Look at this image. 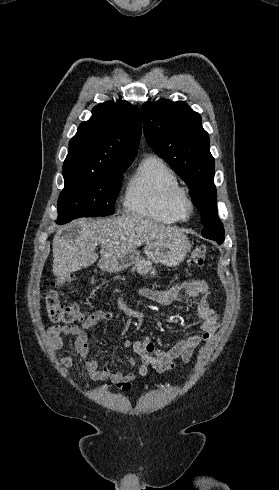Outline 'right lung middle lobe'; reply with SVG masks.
Instances as JSON below:
<instances>
[{"instance_id": "obj_1", "label": "right lung middle lobe", "mask_w": 279, "mask_h": 490, "mask_svg": "<svg viewBox=\"0 0 279 490\" xmlns=\"http://www.w3.org/2000/svg\"><path fill=\"white\" fill-rule=\"evenodd\" d=\"M129 165L104 171H63L65 187L58 199V220L65 224L79 217L112 215Z\"/></svg>"}]
</instances>
